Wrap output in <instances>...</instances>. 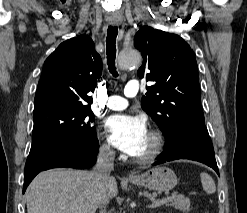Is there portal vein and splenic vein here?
<instances>
[{
	"instance_id": "1",
	"label": "portal vein and splenic vein",
	"mask_w": 247,
	"mask_h": 213,
	"mask_svg": "<svg viewBox=\"0 0 247 213\" xmlns=\"http://www.w3.org/2000/svg\"><path fill=\"white\" fill-rule=\"evenodd\" d=\"M174 197V194L170 195V196H167L163 199H159V200H155L152 202V204H149L147 205L148 208H156V207H159L165 203H167L168 201H171Z\"/></svg>"
}]
</instances>
